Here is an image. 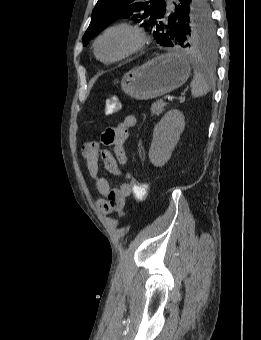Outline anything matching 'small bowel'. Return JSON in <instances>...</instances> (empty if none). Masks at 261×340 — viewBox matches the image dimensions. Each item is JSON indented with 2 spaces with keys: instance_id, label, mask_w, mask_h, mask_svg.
Instances as JSON below:
<instances>
[{
  "instance_id": "small-bowel-1",
  "label": "small bowel",
  "mask_w": 261,
  "mask_h": 340,
  "mask_svg": "<svg viewBox=\"0 0 261 340\" xmlns=\"http://www.w3.org/2000/svg\"><path fill=\"white\" fill-rule=\"evenodd\" d=\"M136 124L134 115H125L120 123L114 127L107 128L101 136V143L114 146V154L102 149L97 142H88L82 147V155L95 185L96 191L101 195L97 205L104 213L121 211L126 199L132 194L129 183L112 185L103 174L107 171L115 176L126 178L120 165L128 164V157L124 143L128 137L129 129Z\"/></svg>"
}]
</instances>
